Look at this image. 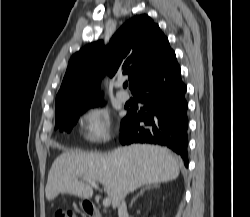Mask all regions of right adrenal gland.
<instances>
[{
    "instance_id": "right-adrenal-gland-1",
    "label": "right adrenal gland",
    "mask_w": 250,
    "mask_h": 217,
    "mask_svg": "<svg viewBox=\"0 0 250 217\" xmlns=\"http://www.w3.org/2000/svg\"><path fill=\"white\" fill-rule=\"evenodd\" d=\"M154 186H157V185L154 184ZM150 187H151V185H148V186H146L145 188H142V189L140 190V192L132 199V201H131L129 207L131 208L132 205H133V203L135 202V200H136L139 196L143 195L144 191H145L146 189L150 188Z\"/></svg>"
}]
</instances>
